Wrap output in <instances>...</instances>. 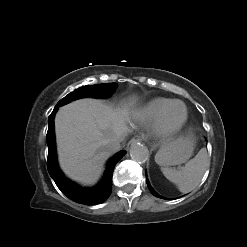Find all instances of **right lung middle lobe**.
Listing matches in <instances>:
<instances>
[{"instance_id":"right-lung-middle-lobe-1","label":"right lung middle lobe","mask_w":247,"mask_h":247,"mask_svg":"<svg viewBox=\"0 0 247 247\" xmlns=\"http://www.w3.org/2000/svg\"><path fill=\"white\" fill-rule=\"evenodd\" d=\"M116 88V83H103L96 85L83 86L76 89L74 92L69 93L63 99L58 102L59 106L67 104L73 100L84 98V97H94L103 98L107 97L114 92Z\"/></svg>"}]
</instances>
